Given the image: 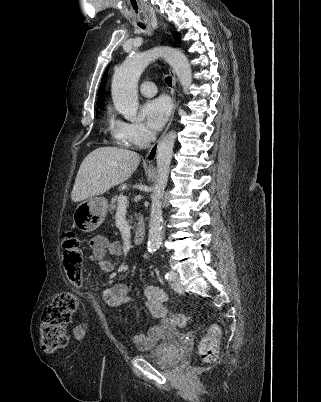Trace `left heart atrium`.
I'll use <instances>...</instances> for the list:
<instances>
[{
    "mask_svg": "<svg viewBox=\"0 0 321 402\" xmlns=\"http://www.w3.org/2000/svg\"><path fill=\"white\" fill-rule=\"evenodd\" d=\"M170 112V102L164 97L149 100L142 108V113L144 115L146 124L153 132H156L163 127L170 115Z\"/></svg>",
    "mask_w": 321,
    "mask_h": 402,
    "instance_id": "left-heart-atrium-1",
    "label": "left heart atrium"
}]
</instances>
